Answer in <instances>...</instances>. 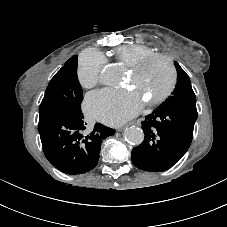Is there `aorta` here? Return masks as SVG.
<instances>
[{"label": "aorta", "mask_w": 227, "mask_h": 227, "mask_svg": "<svg viewBox=\"0 0 227 227\" xmlns=\"http://www.w3.org/2000/svg\"><path fill=\"white\" fill-rule=\"evenodd\" d=\"M100 79L104 84L114 85L120 81L121 74L116 66L109 65L102 69ZM124 137L129 143L140 145L144 140V133L141 128L131 126L125 130Z\"/></svg>", "instance_id": "aorta-1"}]
</instances>
